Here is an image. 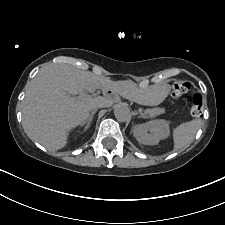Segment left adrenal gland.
Segmentation results:
<instances>
[{"label":"left adrenal gland","instance_id":"obj_1","mask_svg":"<svg viewBox=\"0 0 225 225\" xmlns=\"http://www.w3.org/2000/svg\"><path fill=\"white\" fill-rule=\"evenodd\" d=\"M140 118H144V119H147L148 117L147 116H145L143 113H140V116H139Z\"/></svg>","mask_w":225,"mask_h":225}]
</instances>
